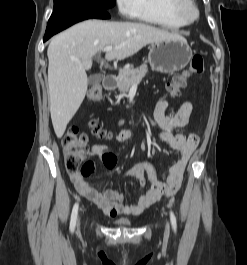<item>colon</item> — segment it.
Listing matches in <instances>:
<instances>
[{
	"label": "colon",
	"mask_w": 247,
	"mask_h": 265,
	"mask_svg": "<svg viewBox=\"0 0 247 265\" xmlns=\"http://www.w3.org/2000/svg\"><path fill=\"white\" fill-rule=\"evenodd\" d=\"M204 62L200 55H194L189 67L182 74L175 76L167 86L169 95H177L186 86L187 78L192 74H202ZM88 100L100 102L103 98L99 86H94L88 91ZM91 133L98 138H108L110 133L104 131L96 121L89 122ZM88 136L80 133L77 126H71L63 138L65 167L70 175L88 176L93 171V164L85 162Z\"/></svg>",
	"instance_id": "obj_1"
}]
</instances>
